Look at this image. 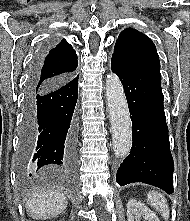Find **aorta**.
Wrapping results in <instances>:
<instances>
[{"label": "aorta", "mask_w": 190, "mask_h": 221, "mask_svg": "<svg viewBox=\"0 0 190 221\" xmlns=\"http://www.w3.org/2000/svg\"><path fill=\"white\" fill-rule=\"evenodd\" d=\"M106 96L112 127L114 153L126 156L131 148V121L123 86L116 74H109L106 82Z\"/></svg>", "instance_id": "obj_1"}]
</instances>
